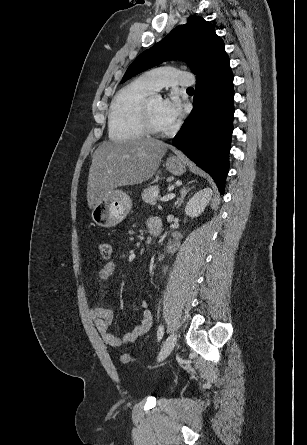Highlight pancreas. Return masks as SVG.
Here are the masks:
<instances>
[{
	"instance_id": "cf45deb5",
	"label": "pancreas",
	"mask_w": 307,
	"mask_h": 445,
	"mask_svg": "<svg viewBox=\"0 0 307 445\" xmlns=\"http://www.w3.org/2000/svg\"><path fill=\"white\" fill-rule=\"evenodd\" d=\"M155 192H159V186H148V188H144L142 192V198L144 202H150V204H156V200L158 196H155Z\"/></svg>"
}]
</instances>
